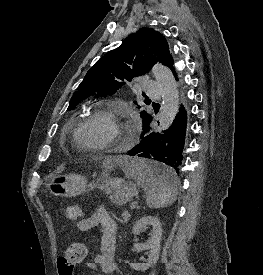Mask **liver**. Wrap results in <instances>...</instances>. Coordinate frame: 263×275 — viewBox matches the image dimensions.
<instances>
[{"instance_id":"obj_1","label":"liver","mask_w":263,"mask_h":275,"mask_svg":"<svg viewBox=\"0 0 263 275\" xmlns=\"http://www.w3.org/2000/svg\"><path fill=\"white\" fill-rule=\"evenodd\" d=\"M126 158L125 157H108L105 159V164H112L113 162H119L122 163Z\"/></svg>"}]
</instances>
